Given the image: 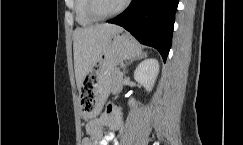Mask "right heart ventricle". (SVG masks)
Wrapping results in <instances>:
<instances>
[{
	"mask_svg": "<svg viewBox=\"0 0 243 145\" xmlns=\"http://www.w3.org/2000/svg\"><path fill=\"white\" fill-rule=\"evenodd\" d=\"M88 0H75V19L81 26L88 27L97 22L93 19L87 11Z\"/></svg>",
	"mask_w": 243,
	"mask_h": 145,
	"instance_id": "right-heart-ventricle-1",
	"label": "right heart ventricle"
}]
</instances>
